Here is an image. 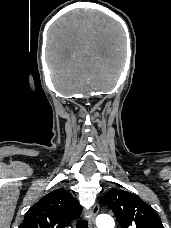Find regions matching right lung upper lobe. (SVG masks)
I'll list each match as a JSON object with an SVG mask.
<instances>
[{"mask_svg": "<svg viewBox=\"0 0 171 228\" xmlns=\"http://www.w3.org/2000/svg\"><path fill=\"white\" fill-rule=\"evenodd\" d=\"M81 212L70 193L56 189L30 208L19 228H66Z\"/></svg>", "mask_w": 171, "mask_h": 228, "instance_id": "right-lung-upper-lobe-1", "label": "right lung upper lobe"}]
</instances>
